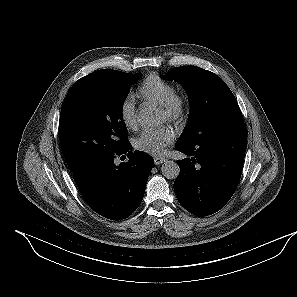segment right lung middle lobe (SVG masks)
<instances>
[{"mask_svg": "<svg viewBox=\"0 0 297 297\" xmlns=\"http://www.w3.org/2000/svg\"><path fill=\"white\" fill-rule=\"evenodd\" d=\"M140 76L113 70L105 76L79 79L73 85L59 120L61 150L72 173L129 144L122 108L130 85Z\"/></svg>", "mask_w": 297, "mask_h": 297, "instance_id": "1", "label": "right lung middle lobe"}]
</instances>
